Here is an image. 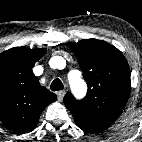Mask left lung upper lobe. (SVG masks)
Segmentation results:
<instances>
[{
	"instance_id": "obj_1",
	"label": "left lung upper lobe",
	"mask_w": 142,
	"mask_h": 142,
	"mask_svg": "<svg viewBox=\"0 0 142 142\" xmlns=\"http://www.w3.org/2000/svg\"><path fill=\"white\" fill-rule=\"evenodd\" d=\"M69 47L83 71L88 93L82 100L67 93L64 104L82 130H105L118 119L129 98L128 63L117 48L102 40L83 39L69 43Z\"/></svg>"
}]
</instances>
